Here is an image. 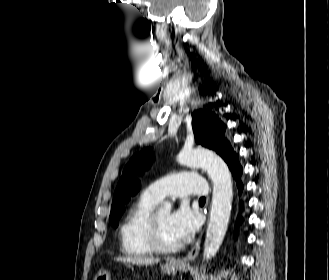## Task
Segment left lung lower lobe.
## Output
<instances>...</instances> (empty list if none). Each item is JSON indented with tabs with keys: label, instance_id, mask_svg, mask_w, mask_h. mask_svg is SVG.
<instances>
[{
	"label": "left lung lower lobe",
	"instance_id": "1",
	"mask_svg": "<svg viewBox=\"0 0 329 280\" xmlns=\"http://www.w3.org/2000/svg\"><path fill=\"white\" fill-rule=\"evenodd\" d=\"M232 174H233V177L237 180V186H238V189L241 191L243 186L240 182V176L243 172V168L240 166L239 162L233 164L232 166L229 167ZM238 222H242V218L239 217L238 218ZM235 234H236V230H235Z\"/></svg>",
	"mask_w": 329,
	"mask_h": 280
}]
</instances>
